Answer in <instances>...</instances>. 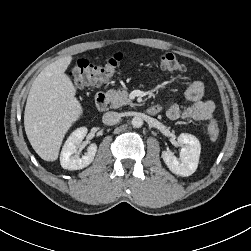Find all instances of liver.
Returning <instances> with one entry per match:
<instances>
[{
  "mask_svg": "<svg viewBox=\"0 0 251 251\" xmlns=\"http://www.w3.org/2000/svg\"><path fill=\"white\" fill-rule=\"evenodd\" d=\"M72 61L63 57L46 66L34 80L28 94L24 127L35 152L45 161L58 158L63 138L83 114L76 89L65 74Z\"/></svg>",
  "mask_w": 251,
  "mask_h": 251,
  "instance_id": "liver-1",
  "label": "liver"
}]
</instances>
